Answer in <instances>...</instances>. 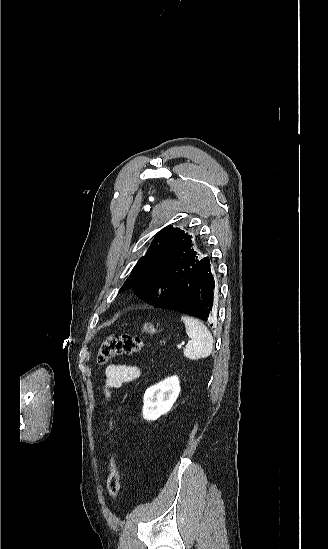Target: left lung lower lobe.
<instances>
[{"mask_svg":"<svg viewBox=\"0 0 328 549\" xmlns=\"http://www.w3.org/2000/svg\"><path fill=\"white\" fill-rule=\"evenodd\" d=\"M215 295L216 287L210 261L205 257L179 280L169 297L157 301L154 307L177 311L211 322L215 314Z\"/></svg>","mask_w":328,"mask_h":549,"instance_id":"obj_1","label":"left lung lower lobe"}]
</instances>
